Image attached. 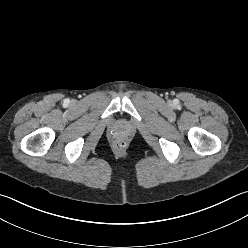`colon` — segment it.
Listing matches in <instances>:
<instances>
[{
    "label": "colon",
    "mask_w": 248,
    "mask_h": 248,
    "mask_svg": "<svg viewBox=\"0 0 248 248\" xmlns=\"http://www.w3.org/2000/svg\"><path fill=\"white\" fill-rule=\"evenodd\" d=\"M114 147H115L116 150L122 151V150L125 149L126 143H125L124 140H121V139H120V140H117V141L115 142Z\"/></svg>",
    "instance_id": "obj_1"
}]
</instances>
